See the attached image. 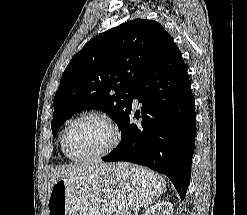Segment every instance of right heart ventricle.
<instances>
[{
	"label": "right heart ventricle",
	"mask_w": 247,
	"mask_h": 215,
	"mask_svg": "<svg viewBox=\"0 0 247 215\" xmlns=\"http://www.w3.org/2000/svg\"><path fill=\"white\" fill-rule=\"evenodd\" d=\"M66 128H67V127H65V128L62 130L61 135H60V147H61V151L63 152V154H64L66 157L70 158V157L68 156V154H67V152H66V150H65V146H64V135H65ZM70 159H71V158H70Z\"/></svg>",
	"instance_id": "1"
}]
</instances>
